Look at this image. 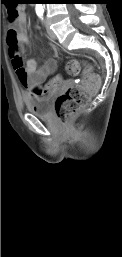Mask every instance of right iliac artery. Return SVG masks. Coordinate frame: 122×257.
I'll list each match as a JSON object with an SVG mask.
<instances>
[{
  "label": "right iliac artery",
  "mask_w": 122,
  "mask_h": 257,
  "mask_svg": "<svg viewBox=\"0 0 122 257\" xmlns=\"http://www.w3.org/2000/svg\"><path fill=\"white\" fill-rule=\"evenodd\" d=\"M37 15L41 18L43 16V12H39Z\"/></svg>",
  "instance_id": "right-iliac-artery-1"
}]
</instances>
